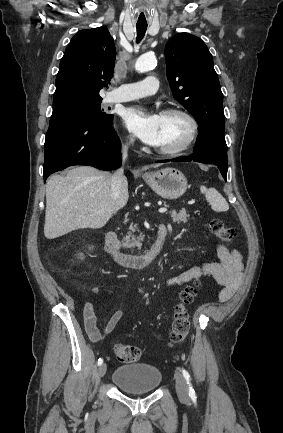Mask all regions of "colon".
Returning <instances> with one entry per match:
<instances>
[{
    "instance_id": "5ec220e1",
    "label": "colon",
    "mask_w": 283,
    "mask_h": 433,
    "mask_svg": "<svg viewBox=\"0 0 283 433\" xmlns=\"http://www.w3.org/2000/svg\"><path fill=\"white\" fill-rule=\"evenodd\" d=\"M210 229L216 238L224 242H230L236 236L235 229L220 219H213L210 222ZM197 289L198 284L190 285L182 289L179 293L170 333V341L173 344L184 342L189 333L190 319L187 307L195 299ZM114 354L119 361L130 363L139 360L143 355V350L133 345L119 343L114 347Z\"/></svg>"
}]
</instances>
